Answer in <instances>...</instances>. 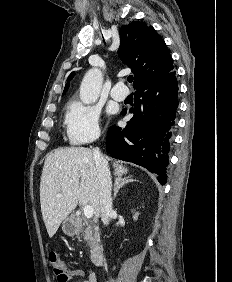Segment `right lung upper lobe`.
I'll use <instances>...</instances> for the list:
<instances>
[{"instance_id": "cb5924a9", "label": "right lung upper lobe", "mask_w": 232, "mask_h": 282, "mask_svg": "<svg viewBox=\"0 0 232 282\" xmlns=\"http://www.w3.org/2000/svg\"><path fill=\"white\" fill-rule=\"evenodd\" d=\"M120 47L118 55L134 74V88L139 84L162 77L173 70L172 57L164 40L152 26L133 21L120 28ZM68 77V81L74 76ZM66 84L63 95L67 91Z\"/></svg>"}]
</instances>
